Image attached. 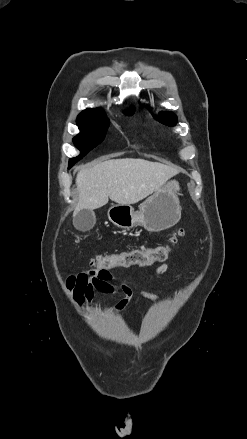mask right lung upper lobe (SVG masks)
I'll return each instance as SVG.
<instances>
[{"instance_id": "1", "label": "right lung upper lobe", "mask_w": 247, "mask_h": 439, "mask_svg": "<svg viewBox=\"0 0 247 439\" xmlns=\"http://www.w3.org/2000/svg\"><path fill=\"white\" fill-rule=\"evenodd\" d=\"M79 116L105 117V114L101 109L97 108V109H86Z\"/></svg>"}]
</instances>
